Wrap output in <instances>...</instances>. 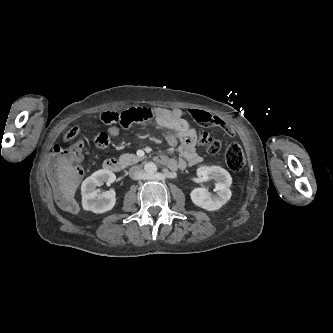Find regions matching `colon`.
I'll return each instance as SVG.
<instances>
[{
  "mask_svg": "<svg viewBox=\"0 0 333 333\" xmlns=\"http://www.w3.org/2000/svg\"><path fill=\"white\" fill-rule=\"evenodd\" d=\"M158 115V112L153 107H130L126 111L118 112H104L101 115V120L105 124L120 125L137 124L140 121L153 120ZM80 134L79 127H72L65 136V141L68 143L74 142ZM197 141L202 145L208 154H216L221 148V142L210 136V134L202 129L197 132ZM110 143V139L107 134L102 133L98 135L94 144L97 148H106ZM82 149V144L79 141L71 144L67 150H64L60 145L54 146V152L56 154L70 153L72 155H78ZM225 161L228 168L234 172L240 171L245 164V156L242 147L238 143L230 144L225 151Z\"/></svg>",
  "mask_w": 333,
  "mask_h": 333,
  "instance_id": "colon-1",
  "label": "colon"
}]
</instances>
